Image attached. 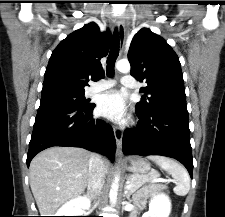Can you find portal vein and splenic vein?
<instances>
[{
  "instance_id": "portal-vein-and-splenic-vein-1",
  "label": "portal vein and splenic vein",
  "mask_w": 225,
  "mask_h": 217,
  "mask_svg": "<svg viewBox=\"0 0 225 217\" xmlns=\"http://www.w3.org/2000/svg\"><path fill=\"white\" fill-rule=\"evenodd\" d=\"M151 182H174L171 179H164V178H160L159 174L156 173H152V180ZM132 187L131 184H128L125 189H130Z\"/></svg>"
}]
</instances>
